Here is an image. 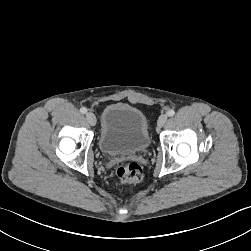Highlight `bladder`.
I'll list each match as a JSON object with an SVG mask.
<instances>
[{"label":"bladder","mask_w":251,"mask_h":251,"mask_svg":"<svg viewBox=\"0 0 251 251\" xmlns=\"http://www.w3.org/2000/svg\"><path fill=\"white\" fill-rule=\"evenodd\" d=\"M98 144L104 154L130 155L145 151L150 134L145 115L125 103L106 106L101 115Z\"/></svg>","instance_id":"bladder-1"}]
</instances>
